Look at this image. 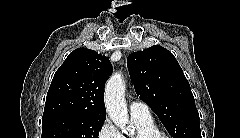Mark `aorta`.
Instances as JSON below:
<instances>
[{"instance_id":"762f6f07","label":"aorta","mask_w":240,"mask_h":138,"mask_svg":"<svg viewBox=\"0 0 240 138\" xmlns=\"http://www.w3.org/2000/svg\"><path fill=\"white\" fill-rule=\"evenodd\" d=\"M125 82L121 73L113 74L105 87V105L110 119L122 131L131 134L133 128L128 125V111L125 102Z\"/></svg>"}]
</instances>
